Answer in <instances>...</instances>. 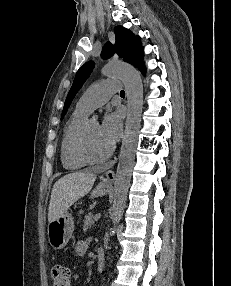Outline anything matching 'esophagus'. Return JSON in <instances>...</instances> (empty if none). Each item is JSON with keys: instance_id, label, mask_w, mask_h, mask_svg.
<instances>
[{"instance_id": "34e87169", "label": "esophagus", "mask_w": 231, "mask_h": 286, "mask_svg": "<svg viewBox=\"0 0 231 286\" xmlns=\"http://www.w3.org/2000/svg\"><path fill=\"white\" fill-rule=\"evenodd\" d=\"M115 178V174L113 170H108L105 174V178L103 179L102 183L104 185H112Z\"/></svg>"}]
</instances>
